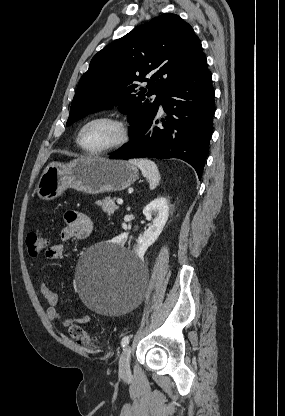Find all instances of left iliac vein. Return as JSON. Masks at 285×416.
Listing matches in <instances>:
<instances>
[{"mask_svg":"<svg viewBox=\"0 0 285 416\" xmlns=\"http://www.w3.org/2000/svg\"><path fill=\"white\" fill-rule=\"evenodd\" d=\"M130 356L131 350L129 347H126L119 359V375L122 377L130 374Z\"/></svg>","mask_w":285,"mask_h":416,"instance_id":"obj_1","label":"left iliac vein"}]
</instances>
